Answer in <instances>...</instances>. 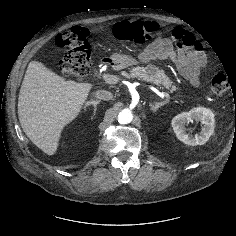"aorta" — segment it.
I'll list each match as a JSON object with an SVG mask.
<instances>
[{"label": "aorta", "instance_id": "762f6f07", "mask_svg": "<svg viewBox=\"0 0 236 236\" xmlns=\"http://www.w3.org/2000/svg\"><path fill=\"white\" fill-rule=\"evenodd\" d=\"M133 120L132 112L129 109H123L118 114V122L120 124H128Z\"/></svg>", "mask_w": 236, "mask_h": 236}]
</instances>
